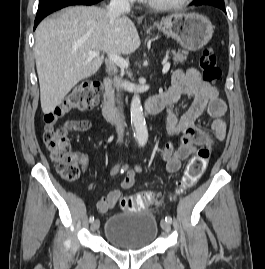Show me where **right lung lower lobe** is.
Listing matches in <instances>:
<instances>
[{
  "label": "right lung lower lobe",
  "mask_w": 265,
  "mask_h": 269,
  "mask_svg": "<svg viewBox=\"0 0 265 269\" xmlns=\"http://www.w3.org/2000/svg\"><path fill=\"white\" fill-rule=\"evenodd\" d=\"M102 0H40L34 29L38 23L50 13L69 5H93Z\"/></svg>",
  "instance_id": "right-lung-lower-lobe-1"
}]
</instances>
